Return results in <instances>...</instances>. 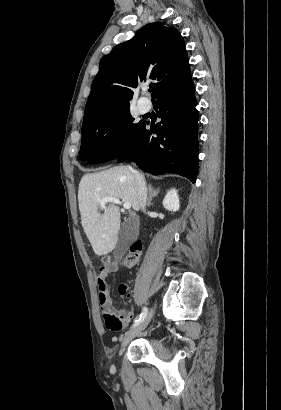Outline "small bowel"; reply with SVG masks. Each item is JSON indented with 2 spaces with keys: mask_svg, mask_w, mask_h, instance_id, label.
<instances>
[{
  "mask_svg": "<svg viewBox=\"0 0 281 410\" xmlns=\"http://www.w3.org/2000/svg\"><path fill=\"white\" fill-rule=\"evenodd\" d=\"M117 270H118V266L116 264H104V265H101L98 269V276H97L98 300H99V304L103 312L110 311L116 314L113 308V305H112V299L109 294V289H108L106 279L110 273L115 272ZM124 286L126 285L120 284L118 287V291L120 295L127 294V289L123 290ZM117 316L121 317L122 319V322H123L122 328L125 327L133 318V314L130 312H120L119 315Z\"/></svg>",
  "mask_w": 281,
  "mask_h": 410,
  "instance_id": "small-bowel-1",
  "label": "small bowel"
}]
</instances>
